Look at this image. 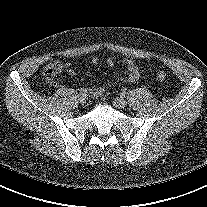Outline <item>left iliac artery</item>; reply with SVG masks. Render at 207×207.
Wrapping results in <instances>:
<instances>
[{
  "instance_id": "left-iliac-artery-1",
  "label": "left iliac artery",
  "mask_w": 207,
  "mask_h": 207,
  "mask_svg": "<svg viewBox=\"0 0 207 207\" xmlns=\"http://www.w3.org/2000/svg\"><path fill=\"white\" fill-rule=\"evenodd\" d=\"M127 94H128V92L126 91V89H123V90L120 92V95H121L122 97H125Z\"/></svg>"
}]
</instances>
